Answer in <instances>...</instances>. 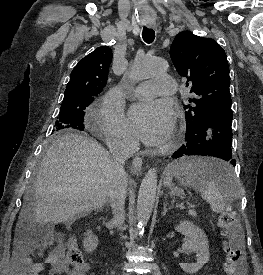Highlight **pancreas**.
<instances>
[{
	"label": "pancreas",
	"mask_w": 263,
	"mask_h": 275,
	"mask_svg": "<svg viewBox=\"0 0 263 275\" xmlns=\"http://www.w3.org/2000/svg\"><path fill=\"white\" fill-rule=\"evenodd\" d=\"M188 214L192 217H197V214L194 210H189Z\"/></svg>",
	"instance_id": "cf45deb5"
}]
</instances>
